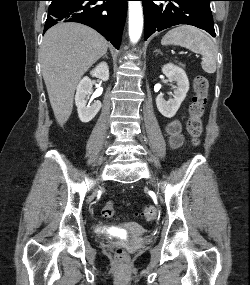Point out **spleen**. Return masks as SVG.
Here are the masks:
<instances>
[{
  "mask_svg": "<svg viewBox=\"0 0 250 285\" xmlns=\"http://www.w3.org/2000/svg\"><path fill=\"white\" fill-rule=\"evenodd\" d=\"M162 45H179L202 55L201 67L208 73L216 71L217 48L211 37L192 26L171 29L161 40Z\"/></svg>",
  "mask_w": 250,
  "mask_h": 285,
  "instance_id": "spleen-1",
  "label": "spleen"
}]
</instances>
